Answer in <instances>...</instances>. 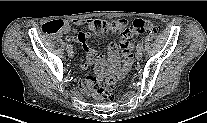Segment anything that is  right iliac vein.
<instances>
[{"instance_id":"obj_1","label":"right iliac vein","mask_w":207,"mask_h":123,"mask_svg":"<svg viewBox=\"0 0 207 123\" xmlns=\"http://www.w3.org/2000/svg\"><path fill=\"white\" fill-rule=\"evenodd\" d=\"M67 53H68V56H69L70 58H73L74 53H73V50H72V49L68 50Z\"/></svg>"}]
</instances>
